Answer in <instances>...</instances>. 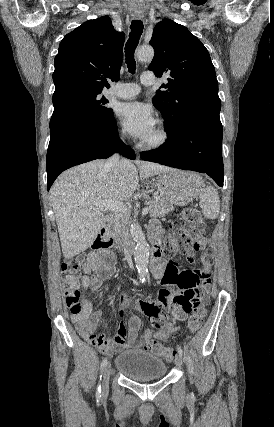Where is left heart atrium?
I'll return each mask as SVG.
<instances>
[{"mask_svg": "<svg viewBox=\"0 0 274 427\" xmlns=\"http://www.w3.org/2000/svg\"><path fill=\"white\" fill-rule=\"evenodd\" d=\"M116 115L122 127L139 139H145L156 127L152 108L139 101L119 104Z\"/></svg>", "mask_w": 274, "mask_h": 427, "instance_id": "left-heart-atrium-1", "label": "left heart atrium"}]
</instances>
